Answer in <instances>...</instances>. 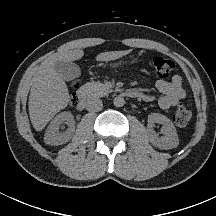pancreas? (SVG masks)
Returning a JSON list of instances; mask_svg holds the SVG:
<instances>
[{"label": "pancreas", "mask_w": 216, "mask_h": 216, "mask_svg": "<svg viewBox=\"0 0 216 216\" xmlns=\"http://www.w3.org/2000/svg\"><path fill=\"white\" fill-rule=\"evenodd\" d=\"M85 87L88 90V94L91 96L103 97L112 92V90L101 82H89L85 84Z\"/></svg>", "instance_id": "cf45deb5"}]
</instances>
